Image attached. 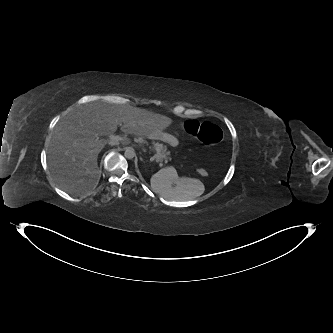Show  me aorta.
Listing matches in <instances>:
<instances>
[{"label": "aorta", "instance_id": "1", "mask_svg": "<svg viewBox=\"0 0 333 333\" xmlns=\"http://www.w3.org/2000/svg\"><path fill=\"white\" fill-rule=\"evenodd\" d=\"M124 155L127 159H133L136 156V153L132 147H127Z\"/></svg>", "mask_w": 333, "mask_h": 333}]
</instances>
